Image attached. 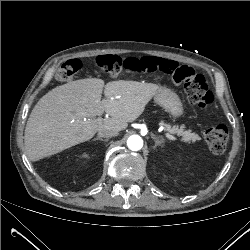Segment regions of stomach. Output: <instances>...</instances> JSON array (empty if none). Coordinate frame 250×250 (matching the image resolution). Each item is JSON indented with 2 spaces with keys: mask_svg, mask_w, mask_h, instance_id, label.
Masks as SVG:
<instances>
[{
  "mask_svg": "<svg viewBox=\"0 0 250 250\" xmlns=\"http://www.w3.org/2000/svg\"><path fill=\"white\" fill-rule=\"evenodd\" d=\"M155 101L174 118L184 114L183 104L179 96L170 89L159 88L154 96Z\"/></svg>",
  "mask_w": 250,
  "mask_h": 250,
  "instance_id": "0dacf381",
  "label": "stomach"
}]
</instances>
